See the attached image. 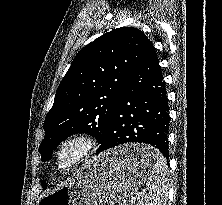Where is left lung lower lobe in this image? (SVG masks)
I'll return each mask as SVG.
<instances>
[{"instance_id":"0a47b994","label":"left lung lower lobe","mask_w":222,"mask_h":205,"mask_svg":"<svg viewBox=\"0 0 222 205\" xmlns=\"http://www.w3.org/2000/svg\"><path fill=\"white\" fill-rule=\"evenodd\" d=\"M169 107L159 60L149 41L129 73L97 153L129 142L146 143L168 159ZM153 156L139 154L135 162L151 164Z\"/></svg>"}]
</instances>
